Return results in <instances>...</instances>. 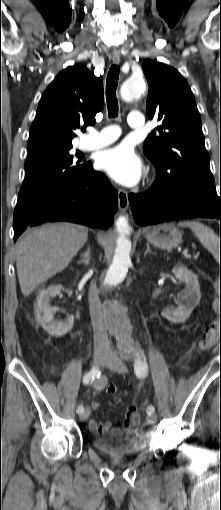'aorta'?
I'll return each mask as SVG.
<instances>
[{
  "label": "aorta",
  "instance_id": "obj_1",
  "mask_svg": "<svg viewBox=\"0 0 221 510\" xmlns=\"http://www.w3.org/2000/svg\"><path fill=\"white\" fill-rule=\"evenodd\" d=\"M146 83L143 78H129L120 88L121 98L124 101H132L143 95ZM118 238L112 263L102 279L101 286L110 290L120 284L126 277L128 267L131 264L130 251L131 241L126 237L131 228L126 216L121 215L115 222ZM105 319L108 326L118 335L122 344L130 339V325L124 310L115 301H108L105 306Z\"/></svg>",
  "mask_w": 221,
  "mask_h": 510
}]
</instances>
